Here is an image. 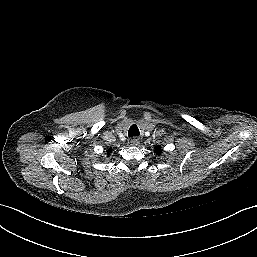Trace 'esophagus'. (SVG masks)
Listing matches in <instances>:
<instances>
[{"mask_svg":"<svg viewBox=\"0 0 257 257\" xmlns=\"http://www.w3.org/2000/svg\"><path fill=\"white\" fill-rule=\"evenodd\" d=\"M130 143H131L132 146H138L139 143H140V139L138 137H134V138L131 139Z\"/></svg>","mask_w":257,"mask_h":257,"instance_id":"34e87169","label":"esophagus"}]
</instances>
